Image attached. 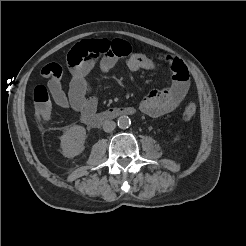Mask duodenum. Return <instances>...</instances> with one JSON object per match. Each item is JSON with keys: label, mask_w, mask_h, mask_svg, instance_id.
<instances>
[{"label": "duodenum", "mask_w": 246, "mask_h": 246, "mask_svg": "<svg viewBox=\"0 0 246 246\" xmlns=\"http://www.w3.org/2000/svg\"><path fill=\"white\" fill-rule=\"evenodd\" d=\"M134 113L135 109L132 107H111L98 113L83 115L82 121L90 127L98 128L106 121Z\"/></svg>", "instance_id": "1"}]
</instances>
